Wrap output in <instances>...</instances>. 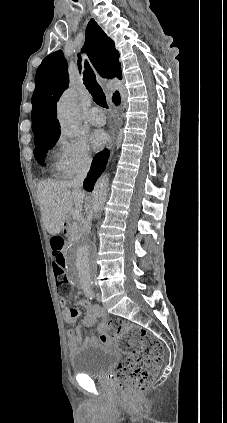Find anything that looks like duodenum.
Listing matches in <instances>:
<instances>
[{"label": "duodenum", "instance_id": "410a0bca", "mask_svg": "<svg viewBox=\"0 0 227 423\" xmlns=\"http://www.w3.org/2000/svg\"><path fill=\"white\" fill-rule=\"evenodd\" d=\"M65 234H66V235H68V228L66 229V232H65Z\"/></svg>", "mask_w": 227, "mask_h": 423}]
</instances>
